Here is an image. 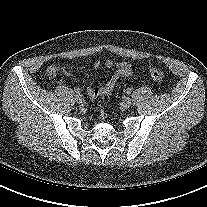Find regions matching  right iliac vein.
<instances>
[{
    "mask_svg": "<svg viewBox=\"0 0 207 207\" xmlns=\"http://www.w3.org/2000/svg\"><path fill=\"white\" fill-rule=\"evenodd\" d=\"M75 100H76V102L79 103V104H82V103L84 102V98H83V96L80 95V94H76V95H75Z\"/></svg>",
    "mask_w": 207,
    "mask_h": 207,
    "instance_id": "63e3f726",
    "label": "right iliac vein"
}]
</instances>
